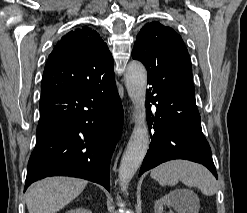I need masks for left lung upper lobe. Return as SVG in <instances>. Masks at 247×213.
<instances>
[{
	"instance_id": "5c2ea615",
	"label": "left lung upper lobe",
	"mask_w": 247,
	"mask_h": 213,
	"mask_svg": "<svg viewBox=\"0 0 247 213\" xmlns=\"http://www.w3.org/2000/svg\"><path fill=\"white\" fill-rule=\"evenodd\" d=\"M132 57L146 66L148 74L163 75L180 70L192 78L190 56L182 38L172 28L159 22L147 23L142 27Z\"/></svg>"
}]
</instances>
